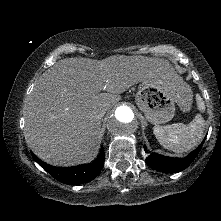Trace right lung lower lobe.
I'll list each match as a JSON object with an SVG mask.
<instances>
[{
    "label": "right lung lower lobe",
    "instance_id": "obj_1",
    "mask_svg": "<svg viewBox=\"0 0 221 221\" xmlns=\"http://www.w3.org/2000/svg\"><path fill=\"white\" fill-rule=\"evenodd\" d=\"M32 157L44 170L58 181L68 185H78L93 180L99 174L104 164L105 153L102 146L100 154L95 161L90 164L78 165L70 168H58L48 165L33 153Z\"/></svg>",
    "mask_w": 221,
    "mask_h": 221
}]
</instances>
